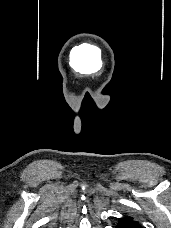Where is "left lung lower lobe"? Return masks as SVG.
Here are the masks:
<instances>
[{"label":"left lung lower lobe","instance_id":"0a47b994","mask_svg":"<svg viewBox=\"0 0 171 228\" xmlns=\"http://www.w3.org/2000/svg\"><path fill=\"white\" fill-rule=\"evenodd\" d=\"M115 228H143L142 225L132 217H123L119 219Z\"/></svg>","mask_w":171,"mask_h":228}]
</instances>
